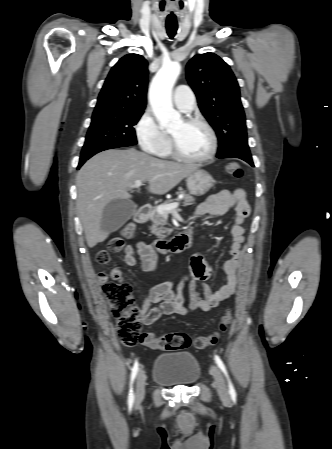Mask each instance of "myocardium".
<instances>
[{
    "label": "myocardium",
    "instance_id": "f54148a6",
    "mask_svg": "<svg viewBox=\"0 0 332 449\" xmlns=\"http://www.w3.org/2000/svg\"><path fill=\"white\" fill-rule=\"evenodd\" d=\"M183 122L186 124H198V125L202 126L207 131V133L209 135L210 148H209V151L204 156H200V157L188 156V155L184 154L178 148L174 138L170 135L171 151H172L173 155L182 161L190 162V163H205V162H208L211 159H213L214 156L216 155V152L218 149V140H217L216 133H215L214 129L212 128V126L204 119H202L200 117H195V116L186 117L183 119Z\"/></svg>",
    "mask_w": 332,
    "mask_h": 449
}]
</instances>
